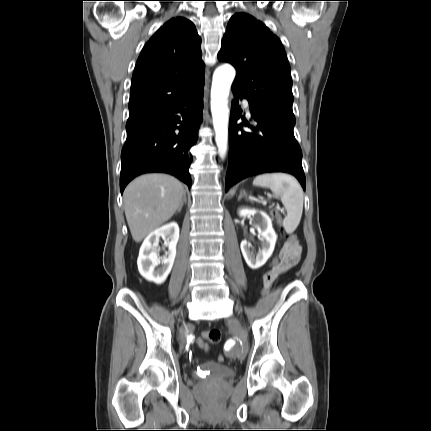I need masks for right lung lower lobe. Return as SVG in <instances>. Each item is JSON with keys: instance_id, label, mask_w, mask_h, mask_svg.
Returning a JSON list of instances; mask_svg holds the SVG:
<instances>
[{"instance_id": "98d812e1", "label": "right lung lower lobe", "mask_w": 431, "mask_h": 431, "mask_svg": "<svg viewBox=\"0 0 431 431\" xmlns=\"http://www.w3.org/2000/svg\"><path fill=\"white\" fill-rule=\"evenodd\" d=\"M203 87L204 82L170 105L129 116L121 153V194L133 178L150 172L172 174L191 187L189 149L198 138Z\"/></svg>"}]
</instances>
